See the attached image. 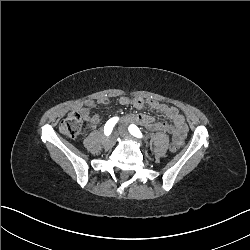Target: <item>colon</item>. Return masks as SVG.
<instances>
[{
	"mask_svg": "<svg viewBox=\"0 0 250 250\" xmlns=\"http://www.w3.org/2000/svg\"><path fill=\"white\" fill-rule=\"evenodd\" d=\"M82 128V116L78 111H73L67 114L59 124V131L62 135L67 138H76ZM180 147L179 141L174 138L170 142L169 152L175 153L176 150Z\"/></svg>",
	"mask_w": 250,
	"mask_h": 250,
	"instance_id": "5ec220e1",
	"label": "colon"
}]
</instances>
